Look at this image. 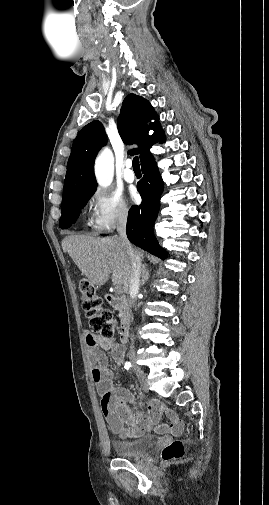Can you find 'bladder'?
Instances as JSON below:
<instances>
[{
  "label": "bladder",
  "instance_id": "obj_1",
  "mask_svg": "<svg viewBox=\"0 0 269 505\" xmlns=\"http://www.w3.org/2000/svg\"><path fill=\"white\" fill-rule=\"evenodd\" d=\"M154 443L155 438L146 435L133 441H113L112 446L119 457L136 458L150 450Z\"/></svg>",
  "mask_w": 269,
  "mask_h": 505
}]
</instances>
